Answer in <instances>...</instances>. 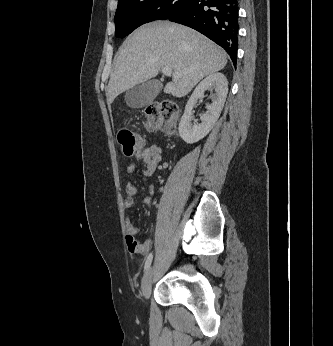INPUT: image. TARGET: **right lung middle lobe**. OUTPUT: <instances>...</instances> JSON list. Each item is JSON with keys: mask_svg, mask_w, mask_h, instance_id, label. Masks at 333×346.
<instances>
[{"mask_svg": "<svg viewBox=\"0 0 333 346\" xmlns=\"http://www.w3.org/2000/svg\"><path fill=\"white\" fill-rule=\"evenodd\" d=\"M185 0H119L115 14V35L124 38L137 27L154 20H165Z\"/></svg>", "mask_w": 333, "mask_h": 346, "instance_id": "1", "label": "right lung middle lobe"}]
</instances>
